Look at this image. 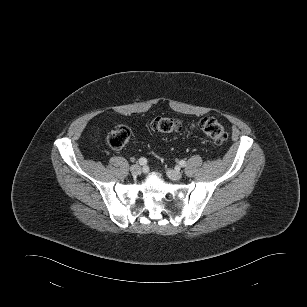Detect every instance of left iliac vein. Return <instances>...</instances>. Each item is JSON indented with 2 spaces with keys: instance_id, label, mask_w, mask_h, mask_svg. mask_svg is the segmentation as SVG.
<instances>
[{
  "instance_id": "obj_1",
  "label": "left iliac vein",
  "mask_w": 307,
  "mask_h": 307,
  "mask_svg": "<svg viewBox=\"0 0 307 307\" xmlns=\"http://www.w3.org/2000/svg\"><path fill=\"white\" fill-rule=\"evenodd\" d=\"M167 175L170 179L178 181L182 178V173L179 170L168 169Z\"/></svg>"
}]
</instances>
